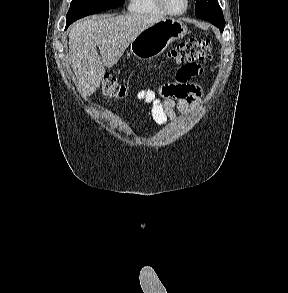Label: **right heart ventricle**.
<instances>
[{
	"label": "right heart ventricle",
	"instance_id": "obj_1",
	"mask_svg": "<svg viewBox=\"0 0 288 293\" xmlns=\"http://www.w3.org/2000/svg\"><path fill=\"white\" fill-rule=\"evenodd\" d=\"M128 9L137 14L166 15L156 0H129Z\"/></svg>",
	"mask_w": 288,
	"mask_h": 293
}]
</instances>
